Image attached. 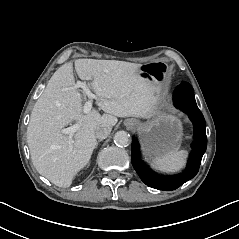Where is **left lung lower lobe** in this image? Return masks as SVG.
<instances>
[{"instance_id": "left-lung-lower-lobe-1", "label": "left lung lower lobe", "mask_w": 239, "mask_h": 239, "mask_svg": "<svg viewBox=\"0 0 239 239\" xmlns=\"http://www.w3.org/2000/svg\"><path fill=\"white\" fill-rule=\"evenodd\" d=\"M174 105L187 113L194 127V159L190 169L180 178L173 180H160L145 173L138 165L136 158L135 143L132 142L131 161L134 169L138 173L141 180L148 186L165 191H171L180 187L183 183L192 179L199 171L202 156L207 148V137L205 132V119L203 114L197 107L194 90L187 82H182L174 91Z\"/></svg>"}]
</instances>
